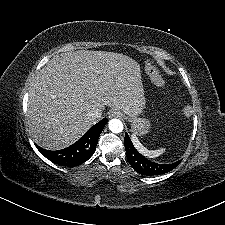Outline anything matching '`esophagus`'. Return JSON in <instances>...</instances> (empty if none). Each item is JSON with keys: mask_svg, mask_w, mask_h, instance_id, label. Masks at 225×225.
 I'll use <instances>...</instances> for the list:
<instances>
[{"mask_svg": "<svg viewBox=\"0 0 225 225\" xmlns=\"http://www.w3.org/2000/svg\"><path fill=\"white\" fill-rule=\"evenodd\" d=\"M123 116L122 112L118 109H111L110 111V118H119L121 119Z\"/></svg>", "mask_w": 225, "mask_h": 225, "instance_id": "obj_1", "label": "esophagus"}]
</instances>
